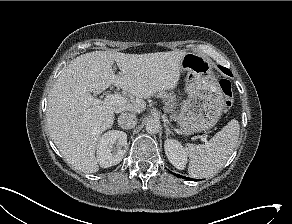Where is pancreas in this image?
<instances>
[{
  "mask_svg": "<svg viewBox=\"0 0 292 224\" xmlns=\"http://www.w3.org/2000/svg\"><path fill=\"white\" fill-rule=\"evenodd\" d=\"M160 97L166 100V111L171 114V119L175 117V109L177 107V98L173 93L161 92Z\"/></svg>",
  "mask_w": 292,
  "mask_h": 224,
  "instance_id": "pancreas-1",
  "label": "pancreas"
}]
</instances>
